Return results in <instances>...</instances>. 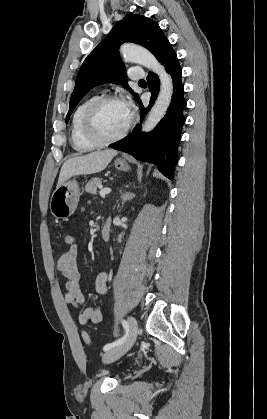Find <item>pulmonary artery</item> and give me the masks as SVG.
Listing matches in <instances>:
<instances>
[{
  "label": "pulmonary artery",
  "mask_w": 267,
  "mask_h": 419,
  "mask_svg": "<svg viewBox=\"0 0 267 419\" xmlns=\"http://www.w3.org/2000/svg\"><path fill=\"white\" fill-rule=\"evenodd\" d=\"M128 75H129V78H131L132 80H141L145 76L143 70L136 67L130 68Z\"/></svg>",
  "instance_id": "1"
}]
</instances>
